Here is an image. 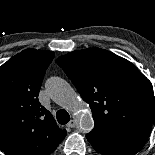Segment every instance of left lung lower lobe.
I'll return each instance as SVG.
<instances>
[{"instance_id": "0a47b994", "label": "left lung lower lobe", "mask_w": 155, "mask_h": 155, "mask_svg": "<svg viewBox=\"0 0 155 155\" xmlns=\"http://www.w3.org/2000/svg\"><path fill=\"white\" fill-rule=\"evenodd\" d=\"M151 129L152 125L94 128L86 138L103 155H135L144 146Z\"/></svg>"}]
</instances>
